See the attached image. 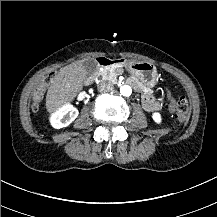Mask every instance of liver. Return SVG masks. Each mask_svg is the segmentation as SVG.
Wrapping results in <instances>:
<instances>
[{"label": "liver", "instance_id": "1", "mask_svg": "<svg viewBox=\"0 0 217 217\" xmlns=\"http://www.w3.org/2000/svg\"><path fill=\"white\" fill-rule=\"evenodd\" d=\"M88 80V71L83 61H74L62 68L51 79L45 100L47 112L54 116L64 106L74 103Z\"/></svg>", "mask_w": 217, "mask_h": 217}]
</instances>
